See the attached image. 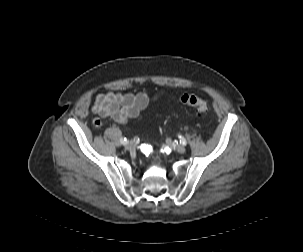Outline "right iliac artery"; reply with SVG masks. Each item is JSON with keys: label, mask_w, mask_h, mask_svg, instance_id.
Segmentation results:
<instances>
[{"label": "right iliac artery", "mask_w": 303, "mask_h": 252, "mask_svg": "<svg viewBox=\"0 0 303 252\" xmlns=\"http://www.w3.org/2000/svg\"><path fill=\"white\" fill-rule=\"evenodd\" d=\"M120 142H121L122 144H126V143H127V139H126L125 137H121V138H120Z\"/></svg>", "instance_id": "82829eb1"}]
</instances>
